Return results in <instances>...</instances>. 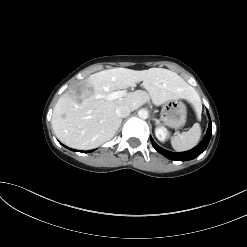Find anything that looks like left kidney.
Masks as SVG:
<instances>
[{
  "instance_id": "obj_1",
  "label": "left kidney",
  "mask_w": 247,
  "mask_h": 247,
  "mask_svg": "<svg viewBox=\"0 0 247 247\" xmlns=\"http://www.w3.org/2000/svg\"><path fill=\"white\" fill-rule=\"evenodd\" d=\"M155 136L160 142H165L168 138V131L164 127H156Z\"/></svg>"
}]
</instances>
